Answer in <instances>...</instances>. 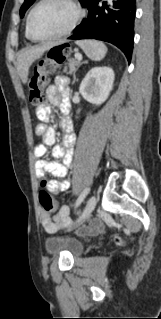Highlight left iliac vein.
<instances>
[{
    "mask_svg": "<svg viewBox=\"0 0 161 319\" xmlns=\"http://www.w3.org/2000/svg\"><path fill=\"white\" fill-rule=\"evenodd\" d=\"M96 204H97L96 196H91L84 207L82 215L76 220V224L80 223L87 216H89L94 211Z\"/></svg>",
    "mask_w": 161,
    "mask_h": 319,
    "instance_id": "4c4485c4",
    "label": "left iliac vein"
}]
</instances>
